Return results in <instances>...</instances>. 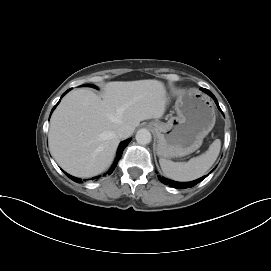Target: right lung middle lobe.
<instances>
[{"label":"right lung middle lobe","mask_w":271,"mask_h":271,"mask_svg":"<svg viewBox=\"0 0 271 271\" xmlns=\"http://www.w3.org/2000/svg\"><path fill=\"white\" fill-rule=\"evenodd\" d=\"M83 86H89V87L97 88L96 86L91 85V84H86V85H83Z\"/></svg>","instance_id":"dd1d6c3e"}]
</instances>
